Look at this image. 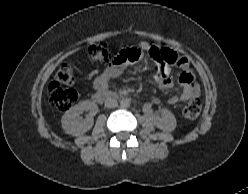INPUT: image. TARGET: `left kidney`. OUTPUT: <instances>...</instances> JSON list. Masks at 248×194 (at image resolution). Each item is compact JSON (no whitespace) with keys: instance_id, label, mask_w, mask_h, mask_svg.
<instances>
[{"instance_id":"left-kidney-1","label":"left kidney","mask_w":248,"mask_h":194,"mask_svg":"<svg viewBox=\"0 0 248 194\" xmlns=\"http://www.w3.org/2000/svg\"><path fill=\"white\" fill-rule=\"evenodd\" d=\"M153 123L157 128L165 132H172L176 128L175 116L167 109L163 110L161 116H155Z\"/></svg>"}]
</instances>
